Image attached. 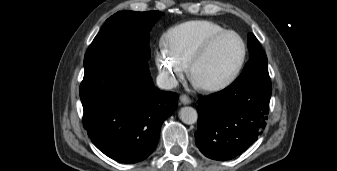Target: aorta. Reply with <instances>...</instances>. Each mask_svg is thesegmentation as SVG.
<instances>
[{"label": "aorta", "mask_w": 337, "mask_h": 171, "mask_svg": "<svg viewBox=\"0 0 337 171\" xmlns=\"http://www.w3.org/2000/svg\"><path fill=\"white\" fill-rule=\"evenodd\" d=\"M179 116L181 121L188 125L196 123L198 119L197 111L189 106L181 108Z\"/></svg>", "instance_id": "aorta-1"}]
</instances>
